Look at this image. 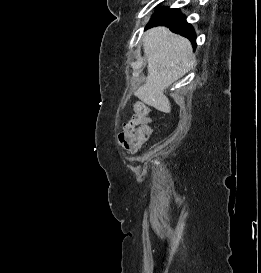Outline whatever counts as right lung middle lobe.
Listing matches in <instances>:
<instances>
[{
	"instance_id": "right-lung-middle-lobe-1",
	"label": "right lung middle lobe",
	"mask_w": 261,
	"mask_h": 273,
	"mask_svg": "<svg viewBox=\"0 0 261 273\" xmlns=\"http://www.w3.org/2000/svg\"><path fill=\"white\" fill-rule=\"evenodd\" d=\"M167 9H159L153 16L160 15L164 13Z\"/></svg>"
}]
</instances>
